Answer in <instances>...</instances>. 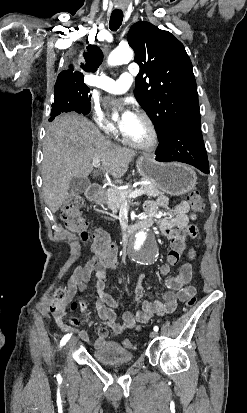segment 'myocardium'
<instances>
[{"mask_svg": "<svg viewBox=\"0 0 247 413\" xmlns=\"http://www.w3.org/2000/svg\"><path fill=\"white\" fill-rule=\"evenodd\" d=\"M141 117H142V120H144L149 125L152 131L151 139L147 142H138V141L130 139L126 134H123V140L126 145H128L129 147L138 149V150H149V149L155 148L156 146H158L161 140L160 130L158 129V127L156 126V124L154 123V121L149 115L143 113Z\"/></svg>", "mask_w": 247, "mask_h": 413, "instance_id": "f54148a6", "label": "myocardium"}]
</instances>
